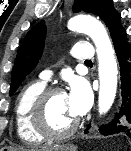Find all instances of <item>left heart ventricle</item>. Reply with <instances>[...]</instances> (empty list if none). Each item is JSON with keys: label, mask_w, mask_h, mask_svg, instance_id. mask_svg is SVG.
Wrapping results in <instances>:
<instances>
[{"label": "left heart ventricle", "mask_w": 131, "mask_h": 151, "mask_svg": "<svg viewBox=\"0 0 131 151\" xmlns=\"http://www.w3.org/2000/svg\"><path fill=\"white\" fill-rule=\"evenodd\" d=\"M77 120L70 111L66 94L51 98L47 107V122L53 131H64Z\"/></svg>", "instance_id": "b2bd125f"}]
</instances>
